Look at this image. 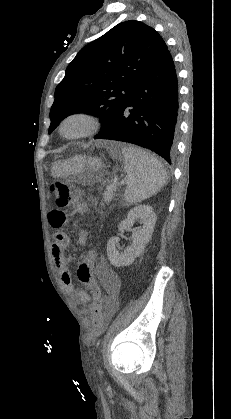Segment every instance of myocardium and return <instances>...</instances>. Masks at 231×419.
I'll return each mask as SVG.
<instances>
[{"instance_id": "f54148a6", "label": "myocardium", "mask_w": 231, "mask_h": 419, "mask_svg": "<svg viewBox=\"0 0 231 419\" xmlns=\"http://www.w3.org/2000/svg\"><path fill=\"white\" fill-rule=\"evenodd\" d=\"M74 119L82 120L85 123V128L75 134H68L65 132V125ZM100 129V121L97 116L86 111H74L62 118L59 123L58 131L62 137L67 140L84 139L97 133Z\"/></svg>"}]
</instances>
